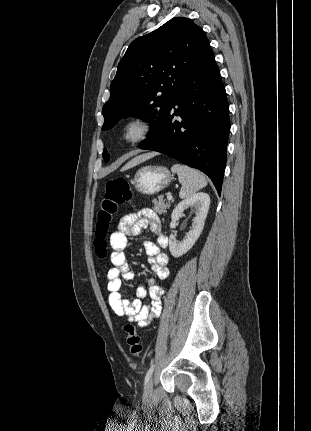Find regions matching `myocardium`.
<instances>
[{
  "mask_svg": "<svg viewBox=\"0 0 311 431\" xmlns=\"http://www.w3.org/2000/svg\"><path fill=\"white\" fill-rule=\"evenodd\" d=\"M131 123H138L142 127V131L137 136L123 135L124 128ZM158 130L156 120L146 113H133L122 118L116 128L117 135L120 140L127 145H139L152 139Z\"/></svg>",
  "mask_w": 311,
  "mask_h": 431,
  "instance_id": "myocardium-1",
  "label": "myocardium"
}]
</instances>
